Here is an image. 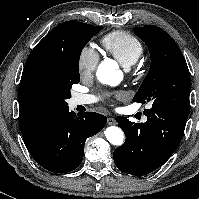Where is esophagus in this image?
<instances>
[{
    "label": "esophagus",
    "instance_id": "obj_1",
    "mask_svg": "<svg viewBox=\"0 0 199 199\" xmlns=\"http://www.w3.org/2000/svg\"><path fill=\"white\" fill-rule=\"evenodd\" d=\"M107 122H108L109 125H114L115 119L110 117V118H108Z\"/></svg>",
    "mask_w": 199,
    "mask_h": 199
}]
</instances>
